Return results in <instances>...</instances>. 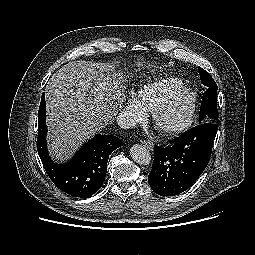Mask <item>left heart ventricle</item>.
<instances>
[{
	"label": "left heart ventricle",
	"mask_w": 255,
	"mask_h": 255,
	"mask_svg": "<svg viewBox=\"0 0 255 255\" xmlns=\"http://www.w3.org/2000/svg\"><path fill=\"white\" fill-rule=\"evenodd\" d=\"M189 110V101L182 99L174 103L168 110H166L159 121L161 126H172L183 120Z\"/></svg>",
	"instance_id": "obj_1"
}]
</instances>
